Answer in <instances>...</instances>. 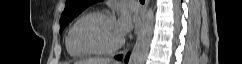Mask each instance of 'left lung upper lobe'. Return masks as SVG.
I'll use <instances>...</instances> for the list:
<instances>
[{
  "instance_id": "1",
  "label": "left lung upper lobe",
  "mask_w": 242,
  "mask_h": 64,
  "mask_svg": "<svg viewBox=\"0 0 242 64\" xmlns=\"http://www.w3.org/2000/svg\"><path fill=\"white\" fill-rule=\"evenodd\" d=\"M100 0H67L65 10L60 19V32L85 8Z\"/></svg>"
}]
</instances>
